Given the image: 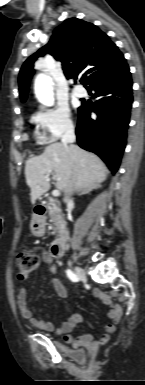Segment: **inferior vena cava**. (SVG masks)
I'll use <instances>...</instances> for the list:
<instances>
[{
	"instance_id": "obj_1",
	"label": "inferior vena cava",
	"mask_w": 145,
	"mask_h": 385,
	"mask_svg": "<svg viewBox=\"0 0 145 385\" xmlns=\"http://www.w3.org/2000/svg\"><path fill=\"white\" fill-rule=\"evenodd\" d=\"M75 139H76V137H75V133H74V128L72 126H70L66 129L64 135L62 136L61 142L63 145L71 147L73 145V143L75 142ZM71 159L74 160L73 156H71ZM72 190L73 189L70 188L68 190V193H71ZM71 201H72V199H70L68 196H66L64 198L65 203H69Z\"/></svg>"
}]
</instances>
